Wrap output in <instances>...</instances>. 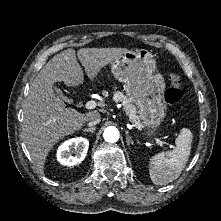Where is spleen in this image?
<instances>
[{"instance_id": "spleen-1", "label": "spleen", "mask_w": 221, "mask_h": 221, "mask_svg": "<svg viewBox=\"0 0 221 221\" xmlns=\"http://www.w3.org/2000/svg\"><path fill=\"white\" fill-rule=\"evenodd\" d=\"M193 135L183 128L175 140L173 151L156 154L150 159L149 175L156 185H165L176 180L185 168L192 145Z\"/></svg>"}]
</instances>
